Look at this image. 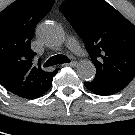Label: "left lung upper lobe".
Instances as JSON below:
<instances>
[{
	"instance_id": "1",
	"label": "left lung upper lobe",
	"mask_w": 135,
	"mask_h": 135,
	"mask_svg": "<svg viewBox=\"0 0 135 135\" xmlns=\"http://www.w3.org/2000/svg\"><path fill=\"white\" fill-rule=\"evenodd\" d=\"M60 10L92 58L94 80L124 89L135 77V26L105 0H65Z\"/></svg>"
}]
</instances>
